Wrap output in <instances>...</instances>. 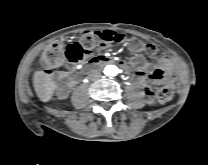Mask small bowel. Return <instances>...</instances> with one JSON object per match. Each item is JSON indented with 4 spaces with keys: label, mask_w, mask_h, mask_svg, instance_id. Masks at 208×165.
Here are the masks:
<instances>
[{
    "label": "small bowel",
    "mask_w": 208,
    "mask_h": 165,
    "mask_svg": "<svg viewBox=\"0 0 208 165\" xmlns=\"http://www.w3.org/2000/svg\"><path fill=\"white\" fill-rule=\"evenodd\" d=\"M111 61L109 56L93 55L89 59L92 66L96 64H108ZM121 66L127 71H133L134 77L139 86L143 90L144 95L151 100L153 91L151 84H171L175 81V66L171 58L165 54H161L157 64L147 62L141 54H135L130 58L129 63L121 62ZM65 71L69 79H64L59 82V97H64L67 94V88L77 81L79 74L76 71V64L74 62H67L65 64Z\"/></svg>",
    "instance_id": "1"
}]
</instances>
